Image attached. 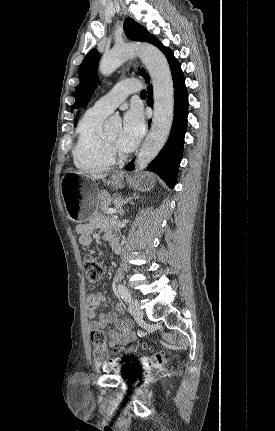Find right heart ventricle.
<instances>
[{
    "mask_svg": "<svg viewBox=\"0 0 275 431\" xmlns=\"http://www.w3.org/2000/svg\"><path fill=\"white\" fill-rule=\"evenodd\" d=\"M106 116L107 114L91 108L81 118L73 150L77 168L87 172H102L113 165L114 161L107 154L102 132Z\"/></svg>",
    "mask_w": 275,
    "mask_h": 431,
    "instance_id": "e07e8e85",
    "label": "right heart ventricle"
}]
</instances>
